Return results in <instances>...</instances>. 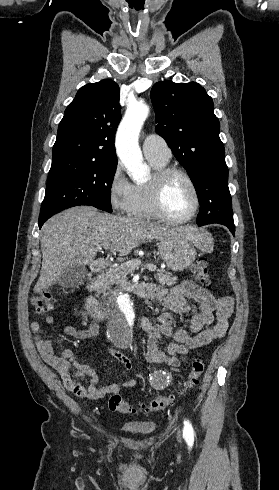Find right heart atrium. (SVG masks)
I'll return each mask as SVG.
<instances>
[{"label": "right heart atrium", "mask_w": 279, "mask_h": 490, "mask_svg": "<svg viewBox=\"0 0 279 490\" xmlns=\"http://www.w3.org/2000/svg\"><path fill=\"white\" fill-rule=\"evenodd\" d=\"M135 187L117 162L108 181V200L114 213L125 216L133 211L137 201Z\"/></svg>", "instance_id": "1"}]
</instances>
